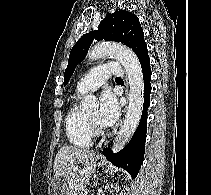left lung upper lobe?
Returning <instances> with one entry per match:
<instances>
[{"label":"left lung upper lobe","instance_id":"obj_1","mask_svg":"<svg viewBox=\"0 0 211 195\" xmlns=\"http://www.w3.org/2000/svg\"><path fill=\"white\" fill-rule=\"evenodd\" d=\"M93 39L120 42L130 47L139 58V61L149 57L143 29L138 17L125 10L115 11L101 21L98 30L84 34L73 46L64 74V86L70 80L78 63L87 55Z\"/></svg>","mask_w":211,"mask_h":195}]
</instances>
